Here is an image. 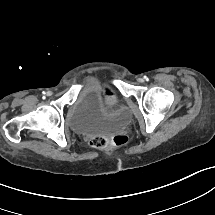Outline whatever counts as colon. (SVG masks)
<instances>
[{
    "label": "colon",
    "instance_id": "colon-1",
    "mask_svg": "<svg viewBox=\"0 0 215 215\" xmlns=\"http://www.w3.org/2000/svg\"><path fill=\"white\" fill-rule=\"evenodd\" d=\"M127 139L123 134H116L110 136H100L94 137L91 140V145L94 148L104 149V148H114L126 144Z\"/></svg>",
    "mask_w": 215,
    "mask_h": 215
}]
</instances>
